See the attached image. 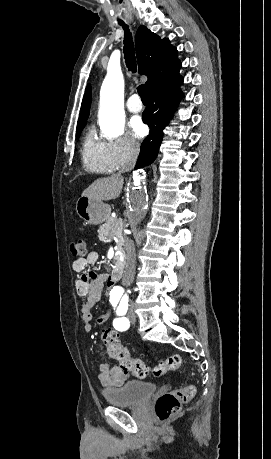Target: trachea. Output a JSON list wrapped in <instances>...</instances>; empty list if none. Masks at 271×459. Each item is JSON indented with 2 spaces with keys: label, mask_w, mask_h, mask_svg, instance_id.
Here are the masks:
<instances>
[{
  "label": "trachea",
  "mask_w": 271,
  "mask_h": 459,
  "mask_svg": "<svg viewBox=\"0 0 271 459\" xmlns=\"http://www.w3.org/2000/svg\"><path fill=\"white\" fill-rule=\"evenodd\" d=\"M124 29V58L126 66L130 72L135 73L137 71L136 58L134 43L132 40V34L129 30L128 25H121ZM138 94L141 97L142 102H148V95L145 85H139L137 88Z\"/></svg>",
  "instance_id": "1"
}]
</instances>
